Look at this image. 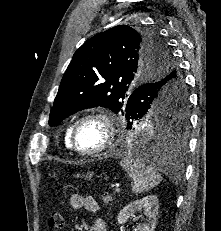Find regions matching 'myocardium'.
I'll list each match as a JSON object with an SVG mask.
<instances>
[{"mask_svg": "<svg viewBox=\"0 0 221 231\" xmlns=\"http://www.w3.org/2000/svg\"><path fill=\"white\" fill-rule=\"evenodd\" d=\"M92 119H97L104 123L107 132L106 141L101 147L93 151H83L80 150L77 146L76 134L79 126L83 122ZM116 139H117V127H116L115 118L110 112L104 110H95L82 115L72 125L71 134H70L71 148L73 149L74 152L84 157H96L107 152L108 150L114 147L116 143Z\"/></svg>", "mask_w": 221, "mask_h": 231, "instance_id": "1", "label": "myocardium"}]
</instances>
